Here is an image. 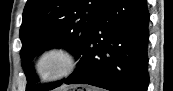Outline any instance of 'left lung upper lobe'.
I'll list each match as a JSON object with an SVG mask.
<instances>
[{"label": "left lung upper lobe", "instance_id": "1", "mask_svg": "<svg viewBox=\"0 0 173 91\" xmlns=\"http://www.w3.org/2000/svg\"><path fill=\"white\" fill-rule=\"evenodd\" d=\"M109 0H28L20 28L21 58L27 77L26 91H47L61 82L35 85L30 63L52 47H64L76 58L82 54L100 12Z\"/></svg>", "mask_w": 173, "mask_h": 91}]
</instances>
